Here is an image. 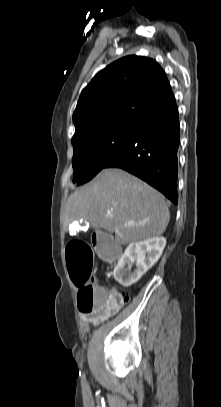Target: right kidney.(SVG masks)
<instances>
[{
	"label": "right kidney",
	"instance_id": "ca27d5eb",
	"mask_svg": "<svg viewBox=\"0 0 221 407\" xmlns=\"http://www.w3.org/2000/svg\"><path fill=\"white\" fill-rule=\"evenodd\" d=\"M166 245L164 237H153L133 242L126 248L114 269L115 279L124 287L136 282L158 261ZM136 261L137 268L131 272L125 266Z\"/></svg>",
	"mask_w": 221,
	"mask_h": 407
}]
</instances>
